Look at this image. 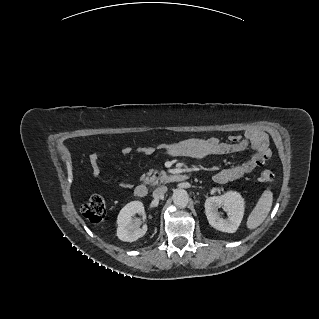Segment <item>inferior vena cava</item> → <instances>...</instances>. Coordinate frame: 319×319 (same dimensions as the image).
<instances>
[{
	"mask_svg": "<svg viewBox=\"0 0 319 319\" xmlns=\"http://www.w3.org/2000/svg\"><path fill=\"white\" fill-rule=\"evenodd\" d=\"M166 186H160L153 191V198L159 199L167 192Z\"/></svg>",
	"mask_w": 319,
	"mask_h": 319,
	"instance_id": "1",
	"label": "inferior vena cava"
}]
</instances>
